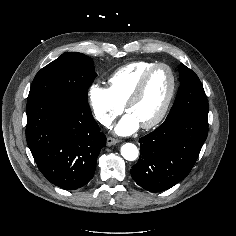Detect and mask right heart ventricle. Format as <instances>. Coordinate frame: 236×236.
I'll return each instance as SVG.
<instances>
[{"mask_svg":"<svg viewBox=\"0 0 236 236\" xmlns=\"http://www.w3.org/2000/svg\"><path fill=\"white\" fill-rule=\"evenodd\" d=\"M154 64L150 61H137L117 69L108 79L109 90L114 98L124 105L144 72Z\"/></svg>","mask_w":236,"mask_h":236,"instance_id":"obj_1","label":"right heart ventricle"}]
</instances>
